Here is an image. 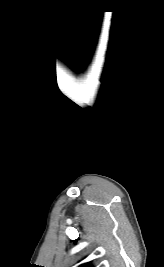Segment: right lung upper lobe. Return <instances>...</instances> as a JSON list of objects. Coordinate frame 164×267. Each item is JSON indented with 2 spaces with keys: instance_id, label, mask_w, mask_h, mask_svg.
<instances>
[{
  "instance_id": "1",
  "label": "right lung upper lobe",
  "mask_w": 164,
  "mask_h": 267,
  "mask_svg": "<svg viewBox=\"0 0 164 267\" xmlns=\"http://www.w3.org/2000/svg\"><path fill=\"white\" fill-rule=\"evenodd\" d=\"M79 267H92V266L89 263H86V264H83V265H81Z\"/></svg>"
}]
</instances>
